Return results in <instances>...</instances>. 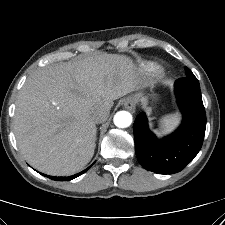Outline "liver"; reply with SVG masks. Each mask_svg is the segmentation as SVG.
<instances>
[{
    "instance_id": "liver-1",
    "label": "liver",
    "mask_w": 225,
    "mask_h": 225,
    "mask_svg": "<svg viewBox=\"0 0 225 225\" xmlns=\"http://www.w3.org/2000/svg\"><path fill=\"white\" fill-rule=\"evenodd\" d=\"M129 57L99 54L45 66L27 78L16 102L14 132L35 169L53 176L82 170L94 155L92 114L137 88Z\"/></svg>"
}]
</instances>
